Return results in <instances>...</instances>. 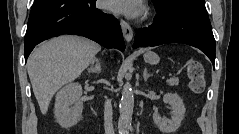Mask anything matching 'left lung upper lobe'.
Instances as JSON below:
<instances>
[{"mask_svg":"<svg viewBox=\"0 0 239 134\" xmlns=\"http://www.w3.org/2000/svg\"><path fill=\"white\" fill-rule=\"evenodd\" d=\"M177 0H153L157 11H163Z\"/></svg>","mask_w":239,"mask_h":134,"instance_id":"5c2ea615","label":"left lung upper lobe"}]
</instances>
